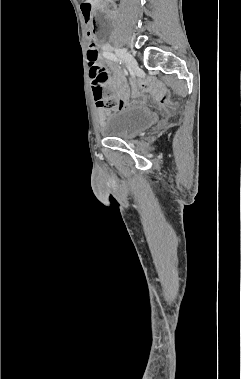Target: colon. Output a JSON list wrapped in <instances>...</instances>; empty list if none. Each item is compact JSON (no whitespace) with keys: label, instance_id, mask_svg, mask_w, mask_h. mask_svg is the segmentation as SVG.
Here are the masks:
<instances>
[{"label":"colon","instance_id":"5ec220e1","mask_svg":"<svg viewBox=\"0 0 241 379\" xmlns=\"http://www.w3.org/2000/svg\"><path fill=\"white\" fill-rule=\"evenodd\" d=\"M82 13L86 21L92 20V7L89 2L84 1L81 4ZM89 40L88 47V61L91 70H88L89 81L93 82V93L97 104L103 109L106 114L117 112L121 109V103L116 96L110 94L104 89V83L106 80V73L104 68L97 64L98 49L95 44V31L90 29L87 32Z\"/></svg>","mask_w":241,"mask_h":379}]
</instances>
